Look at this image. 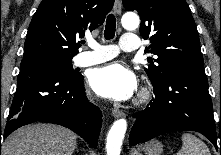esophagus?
<instances>
[{"instance_id":"esophagus-1","label":"esophagus","mask_w":221,"mask_h":155,"mask_svg":"<svg viewBox=\"0 0 221 155\" xmlns=\"http://www.w3.org/2000/svg\"><path fill=\"white\" fill-rule=\"evenodd\" d=\"M122 10V0H115L114 12L116 15H120ZM112 115L115 118H119L124 115V112L118 108L112 109Z\"/></svg>"}]
</instances>
